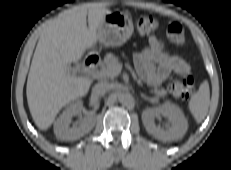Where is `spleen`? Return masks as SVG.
Wrapping results in <instances>:
<instances>
[{
    "label": "spleen",
    "instance_id": "obj_1",
    "mask_svg": "<svg viewBox=\"0 0 231 170\" xmlns=\"http://www.w3.org/2000/svg\"><path fill=\"white\" fill-rule=\"evenodd\" d=\"M210 103V89L207 81H204L196 94H194L189 103L188 108L197 123H200L207 115Z\"/></svg>",
    "mask_w": 231,
    "mask_h": 170
}]
</instances>
